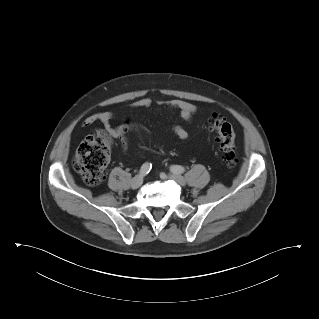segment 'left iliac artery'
<instances>
[{"instance_id": "44dca946", "label": "left iliac artery", "mask_w": 319, "mask_h": 319, "mask_svg": "<svg viewBox=\"0 0 319 319\" xmlns=\"http://www.w3.org/2000/svg\"><path fill=\"white\" fill-rule=\"evenodd\" d=\"M170 170L173 172V173H176V174H182L184 173L185 169L184 167L180 166V165H172L170 167Z\"/></svg>"}]
</instances>
